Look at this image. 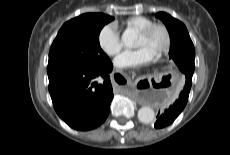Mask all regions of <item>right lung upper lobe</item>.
Returning <instances> with one entry per match:
<instances>
[{"label": "right lung upper lobe", "instance_id": "obj_1", "mask_svg": "<svg viewBox=\"0 0 230 155\" xmlns=\"http://www.w3.org/2000/svg\"><path fill=\"white\" fill-rule=\"evenodd\" d=\"M96 15L97 14H95V13H86V14H83V15H81L79 17H76V18H74V19L66 22L65 24H71V23H76V22L84 21V20L89 19L91 17H94Z\"/></svg>", "mask_w": 230, "mask_h": 155}]
</instances>
